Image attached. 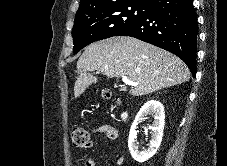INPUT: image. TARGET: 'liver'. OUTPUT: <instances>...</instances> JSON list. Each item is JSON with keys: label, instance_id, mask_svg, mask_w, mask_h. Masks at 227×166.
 Returning a JSON list of instances; mask_svg holds the SVG:
<instances>
[{"label": "liver", "instance_id": "obj_1", "mask_svg": "<svg viewBox=\"0 0 227 166\" xmlns=\"http://www.w3.org/2000/svg\"><path fill=\"white\" fill-rule=\"evenodd\" d=\"M91 71L108 78L128 77L138 83L130 94L142 96L190 79L187 65L172 53L133 37L115 36L87 46L77 62L74 96L98 81Z\"/></svg>", "mask_w": 227, "mask_h": 166}]
</instances>
